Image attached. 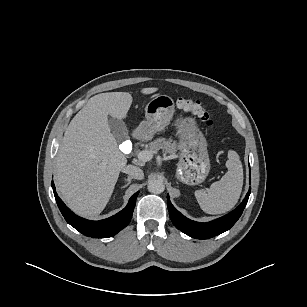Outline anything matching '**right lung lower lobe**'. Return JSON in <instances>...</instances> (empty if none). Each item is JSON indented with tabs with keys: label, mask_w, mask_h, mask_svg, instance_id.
<instances>
[{
	"label": "right lung lower lobe",
	"mask_w": 307,
	"mask_h": 307,
	"mask_svg": "<svg viewBox=\"0 0 307 307\" xmlns=\"http://www.w3.org/2000/svg\"><path fill=\"white\" fill-rule=\"evenodd\" d=\"M54 189V195L57 202V205L64 216L65 220L68 224L73 226L76 230L81 232L83 235L92 237V238H107L114 236L121 229L126 227L132 218V214L134 211L136 198L139 192H136L130 199L127 206L117 213L116 215L109 217L100 221H90L87 219H83L77 215H75L58 197L55 186L52 181L51 184Z\"/></svg>",
	"instance_id": "right-lung-lower-lobe-1"
}]
</instances>
